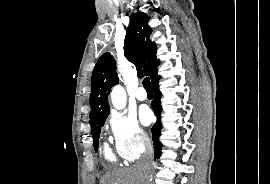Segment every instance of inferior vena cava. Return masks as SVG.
Masks as SVG:
<instances>
[{
  "label": "inferior vena cava",
  "instance_id": "obj_1",
  "mask_svg": "<svg viewBox=\"0 0 270 184\" xmlns=\"http://www.w3.org/2000/svg\"><path fill=\"white\" fill-rule=\"evenodd\" d=\"M144 152L142 154V158L137 164L139 169L144 171H149L152 167V157H153V146L149 139L143 140Z\"/></svg>",
  "mask_w": 270,
  "mask_h": 184
}]
</instances>
